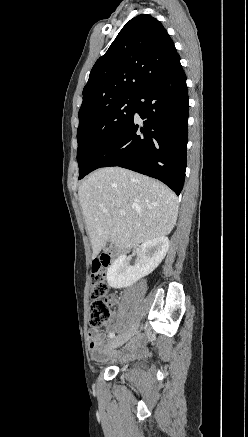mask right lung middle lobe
<instances>
[{"label":"right lung middle lobe","mask_w":248,"mask_h":437,"mask_svg":"<svg viewBox=\"0 0 248 437\" xmlns=\"http://www.w3.org/2000/svg\"><path fill=\"white\" fill-rule=\"evenodd\" d=\"M135 97L120 99L79 123V179L90 173L95 159L116 139L134 115Z\"/></svg>","instance_id":"right-lung-middle-lobe-1"}]
</instances>
